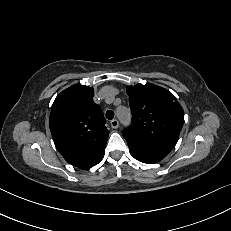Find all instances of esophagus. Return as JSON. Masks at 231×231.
Masks as SVG:
<instances>
[{
  "instance_id": "34e87169",
  "label": "esophagus",
  "mask_w": 231,
  "mask_h": 231,
  "mask_svg": "<svg viewBox=\"0 0 231 231\" xmlns=\"http://www.w3.org/2000/svg\"><path fill=\"white\" fill-rule=\"evenodd\" d=\"M110 125H111V127H112L113 129H117L118 126H119V122H118L117 119H114V120H112V121L110 122Z\"/></svg>"
}]
</instances>
